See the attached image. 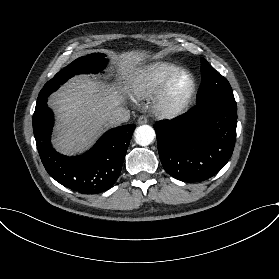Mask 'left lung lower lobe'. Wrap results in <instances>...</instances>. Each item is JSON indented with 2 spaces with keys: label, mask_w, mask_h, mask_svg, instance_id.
Listing matches in <instances>:
<instances>
[{
  "label": "left lung lower lobe",
  "mask_w": 279,
  "mask_h": 279,
  "mask_svg": "<svg viewBox=\"0 0 279 279\" xmlns=\"http://www.w3.org/2000/svg\"><path fill=\"white\" fill-rule=\"evenodd\" d=\"M237 105L217 100L196 104L155 131L165 171L184 182L217 174L230 159L236 141Z\"/></svg>",
  "instance_id": "left-lung-lower-lobe-1"
}]
</instances>
